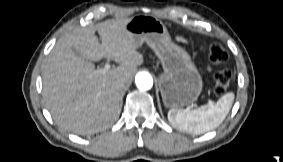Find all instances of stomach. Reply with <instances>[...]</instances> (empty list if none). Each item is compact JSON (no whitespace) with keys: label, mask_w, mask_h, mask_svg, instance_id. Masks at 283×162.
<instances>
[{"label":"stomach","mask_w":283,"mask_h":162,"mask_svg":"<svg viewBox=\"0 0 283 162\" xmlns=\"http://www.w3.org/2000/svg\"><path fill=\"white\" fill-rule=\"evenodd\" d=\"M124 30L138 47L146 42L159 58L164 72L159 89L167 108L195 102L202 91V78L189 53L171 40L164 23L154 16L137 15L128 20Z\"/></svg>","instance_id":"stomach-1"}]
</instances>
